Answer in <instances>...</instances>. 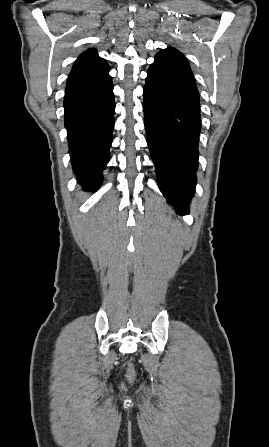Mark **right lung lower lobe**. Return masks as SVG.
I'll return each instance as SVG.
<instances>
[{
  "label": "right lung lower lobe",
  "instance_id": "98d812e1",
  "mask_svg": "<svg viewBox=\"0 0 269 447\" xmlns=\"http://www.w3.org/2000/svg\"><path fill=\"white\" fill-rule=\"evenodd\" d=\"M105 62L72 70L64 98V123L73 170L84 190H96L109 160L115 102Z\"/></svg>",
  "mask_w": 269,
  "mask_h": 447
}]
</instances>
